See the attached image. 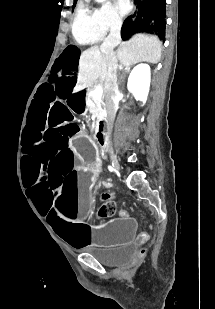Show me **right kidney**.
Here are the masks:
<instances>
[{"instance_id":"right-kidney-1","label":"right kidney","mask_w":215,"mask_h":309,"mask_svg":"<svg viewBox=\"0 0 215 309\" xmlns=\"http://www.w3.org/2000/svg\"><path fill=\"white\" fill-rule=\"evenodd\" d=\"M150 66L149 64H137L131 70L127 82V88L134 94L136 100L146 102L150 86Z\"/></svg>"}]
</instances>
